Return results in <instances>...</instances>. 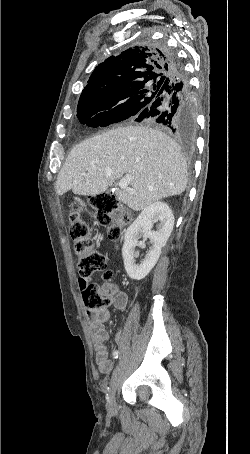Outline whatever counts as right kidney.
Segmentation results:
<instances>
[{
	"instance_id": "obj_1",
	"label": "right kidney",
	"mask_w": 250,
	"mask_h": 454,
	"mask_svg": "<svg viewBox=\"0 0 250 454\" xmlns=\"http://www.w3.org/2000/svg\"><path fill=\"white\" fill-rule=\"evenodd\" d=\"M158 222L157 230L152 231L154 223ZM174 226V216L169 206L161 201L147 206L136 220L129 226L125 234L122 256L124 267L131 279L141 280L145 278L157 263L162 247L165 246ZM143 232L152 243L144 260L140 264L135 263V247H143L144 243L139 240V233Z\"/></svg>"
}]
</instances>
